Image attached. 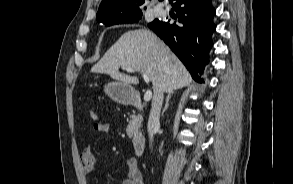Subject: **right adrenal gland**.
<instances>
[{
	"label": "right adrenal gland",
	"mask_w": 293,
	"mask_h": 184,
	"mask_svg": "<svg viewBox=\"0 0 293 184\" xmlns=\"http://www.w3.org/2000/svg\"><path fill=\"white\" fill-rule=\"evenodd\" d=\"M171 95H172V93H169V94L167 95V97H166V103H165L164 109H163V111H162V115H164V113L166 112V110H167L168 107H169V100H170V98H171Z\"/></svg>",
	"instance_id": "obj_1"
}]
</instances>
